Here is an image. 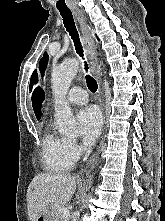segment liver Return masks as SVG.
Listing matches in <instances>:
<instances>
[{"instance_id":"liver-1","label":"liver","mask_w":165,"mask_h":221,"mask_svg":"<svg viewBox=\"0 0 165 221\" xmlns=\"http://www.w3.org/2000/svg\"><path fill=\"white\" fill-rule=\"evenodd\" d=\"M77 180L66 173L37 174L27 190V210L30 221L49 207H64L72 198Z\"/></svg>"}]
</instances>
